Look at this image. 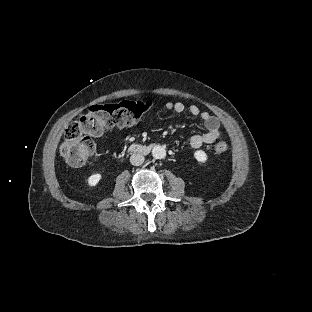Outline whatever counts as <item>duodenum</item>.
Masks as SVG:
<instances>
[{"mask_svg":"<svg viewBox=\"0 0 312 312\" xmlns=\"http://www.w3.org/2000/svg\"><path fill=\"white\" fill-rule=\"evenodd\" d=\"M150 150V146L147 144H132L128 147V151L137 154H146Z\"/></svg>","mask_w":312,"mask_h":312,"instance_id":"410a0bca","label":"duodenum"}]
</instances>
